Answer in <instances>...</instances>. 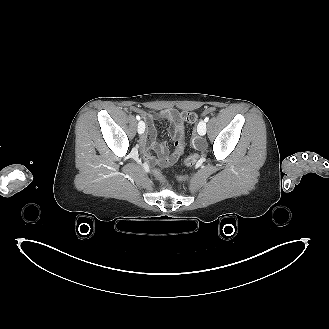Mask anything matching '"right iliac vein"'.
<instances>
[{
  "label": "right iliac vein",
  "instance_id": "obj_1",
  "mask_svg": "<svg viewBox=\"0 0 329 329\" xmlns=\"http://www.w3.org/2000/svg\"><path fill=\"white\" fill-rule=\"evenodd\" d=\"M137 131L139 134H143L145 131V123L143 121H140L138 123Z\"/></svg>",
  "mask_w": 329,
  "mask_h": 329
}]
</instances>
